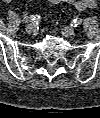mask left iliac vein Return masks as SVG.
Returning a JSON list of instances; mask_svg holds the SVG:
<instances>
[{
	"mask_svg": "<svg viewBox=\"0 0 100 118\" xmlns=\"http://www.w3.org/2000/svg\"><path fill=\"white\" fill-rule=\"evenodd\" d=\"M74 33H75V30H74V28H72V27H65V28H63V30H62V34H63L65 37L72 36V35H74Z\"/></svg>",
	"mask_w": 100,
	"mask_h": 118,
	"instance_id": "obj_1",
	"label": "left iliac vein"
}]
</instances>
